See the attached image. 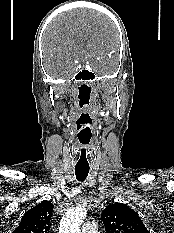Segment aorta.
Here are the masks:
<instances>
[{"mask_svg": "<svg viewBox=\"0 0 174 233\" xmlns=\"http://www.w3.org/2000/svg\"><path fill=\"white\" fill-rule=\"evenodd\" d=\"M86 216L87 209L84 206L69 209L61 219L59 233H81L80 227Z\"/></svg>", "mask_w": 174, "mask_h": 233, "instance_id": "aorta-1", "label": "aorta"}]
</instances>
